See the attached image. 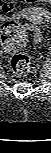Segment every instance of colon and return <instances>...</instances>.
<instances>
[{
	"label": "colon",
	"instance_id": "1",
	"mask_svg": "<svg viewBox=\"0 0 51 153\" xmlns=\"http://www.w3.org/2000/svg\"><path fill=\"white\" fill-rule=\"evenodd\" d=\"M28 2H39L40 0H27ZM48 1V0H42ZM35 16L41 13H33ZM41 18V17H40ZM35 32V40H42V32L38 23L25 24L16 20H6L1 26V43L3 48L12 53L11 69L19 77H25L30 71V59L27 55L20 53L27 41V32Z\"/></svg>",
	"mask_w": 51,
	"mask_h": 153
}]
</instances>
